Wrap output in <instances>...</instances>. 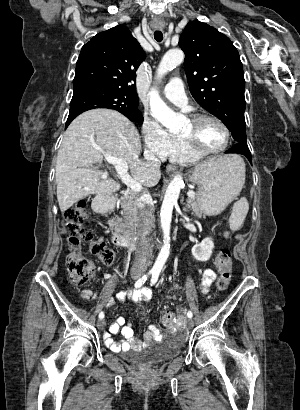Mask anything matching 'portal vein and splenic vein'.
I'll return each mask as SVG.
<instances>
[{"mask_svg": "<svg viewBox=\"0 0 300 410\" xmlns=\"http://www.w3.org/2000/svg\"><path fill=\"white\" fill-rule=\"evenodd\" d=\"M105 160L109 163L115 166L117 173L119 174V177L128 188H130L134 192H140L143 187L140 185L138 182H136L128 173V166L126 162H124L121 159H118L116 157H113L109 154L104 153ZM187 196L189 198H194L195 197V192L193 190H189L187 192Z\"/></svg>", "mask_w": 300, "mask_h": 410, "instance_id": "1", "label": "portal vein and splenic vein"}]
</instances>
